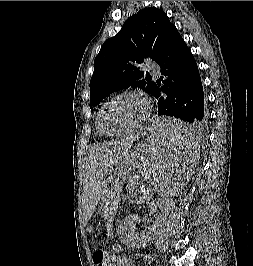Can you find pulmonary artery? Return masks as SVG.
<instances>
[{"instance_id":"1","label":"pulmonary artery","mask_w":253,"mask_h":266,"mask_svg":"<svg viewBox=\"0 0 253 266\" xmlns=\"http://www.w3.org/2000/svg\"><path fill=\"white\" fill-rule=\"evenodd\" d=\"M148 71L155 75H158L160 73L159 67L154 66V65H151L150 67H148Z\"/></svg>"}]
</instances>
